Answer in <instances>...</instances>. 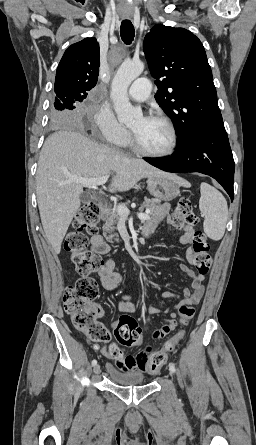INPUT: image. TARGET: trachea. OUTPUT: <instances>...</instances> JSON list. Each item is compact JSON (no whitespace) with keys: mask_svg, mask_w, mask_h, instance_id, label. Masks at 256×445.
Returning a JSON list of instances; mask_svg holds the SVG:
<instances>
[{"mask_svg":"<svg viewBox=\"0 0 256 445\" xmlns=\"http://www.w3.org/2000/svg\"><path fill=\"white\" fill-rule=\"evenodd\" d=\"M120 35L122 38V41L129 45L132 43L134 36H135V30L132 22L130 20H123L120 27Z\"/></svg>","mask_w":256,"mask_h":445,"instance_id":"obj_1","label":"trachea"}]
</instances>
